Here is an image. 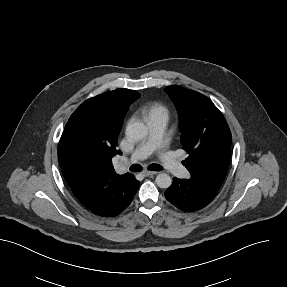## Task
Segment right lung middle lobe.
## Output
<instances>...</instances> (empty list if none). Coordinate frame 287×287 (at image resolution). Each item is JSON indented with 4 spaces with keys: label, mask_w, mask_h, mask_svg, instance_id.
<instances>
[{
    "label": "right lung middle lobe",
    "mask_w": 287,
    "mask_h": 287,
    "mask_svg": "<svg viewBox=\"0 0 287 287\" xmlns=\"http://www.w3.org/2000/svg\"><path fill=\"white\" fill-rule=\"evenodd\" d=\"M102 155V148L86 136L81 119L73 113L59 142L58 158L62 171L88 175Z\"/></svg>",
    "instance_id": "dd1d6c3e"
}]
</instances>
